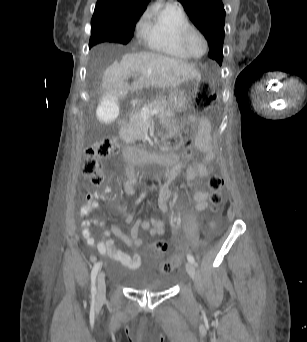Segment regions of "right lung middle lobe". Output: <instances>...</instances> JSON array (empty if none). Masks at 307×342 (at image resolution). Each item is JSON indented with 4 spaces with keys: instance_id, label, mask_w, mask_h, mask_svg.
<instances>
[{
    "instance_id": "obj_1",
    "label": "right lung middle lobe",
    "mask_w": 307,
    "mask_h": 342,
    "mask_svg": "<svg viewBox=\"0 0 307 342\" xmlns=\"http://www.w3.org/2000/svg\"><path fill=\"white\" fill-rule=\"evenodd\" d=\"M132 36L133 32H114L92 28L89 47L105 41L127 44Z\"/></svg>"
}]
</instances>
